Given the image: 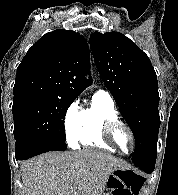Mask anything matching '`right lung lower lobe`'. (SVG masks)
Listing matches in <instances>:
<instances>
[{"mask_svg":"<svg viewBox=\"0 0 178 195\" xmlns=\"http://www.w3.org/2000/svg\"><path fill=\"white\" fill-rule=\"evenodd\" d=\"M67 145L62 141H20L16 142V160H25L48 151H63Z\"/></svg>","mask_w":178,"mask_h":195,"instance_id":"1","label":"right lung lower lobe"}]
</instances>
